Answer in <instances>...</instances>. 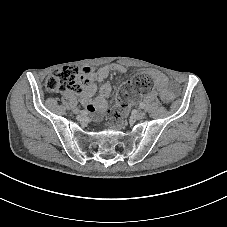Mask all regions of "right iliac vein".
Listing matches in <instances>:
<instances>
[{
    "label": "right iliac vein",
    "mask_w": 227,
    "mask_h": 227,
    "mask_svg": "<svg viewBox=\"0 0 227 227\" xmlns=\"http://www.w3.org/2000/svg\"><path fill=\"white\" fill-rule=\"evenodd\" d=\"M73 112L76 113V114H78L79 113L78 108L77 107H73Z\"/></svg>",
    "instance_id": "1"
}]
</instances>
